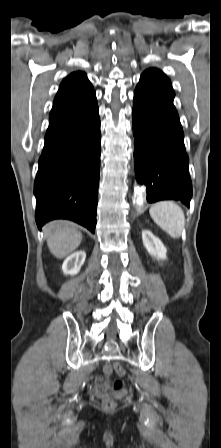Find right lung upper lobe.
Wrapping results in <instances>:
<instances>
[{"mask_svg":"<svg viewBox=\"0 0 221 448\" xmlns=\"http://www.w3.org/2000/svg\"><path fill=\"white\" fill-rule=\"evenodd\" d=\"M93 93V87L85 73H71L60 85L50 116L81 102Z\"/></svg>","mask_w":221,"mask_h":448,"instance_id":"right-lung-upper-lobe-1","label":"right lung upper lobe"}]
</instances>
